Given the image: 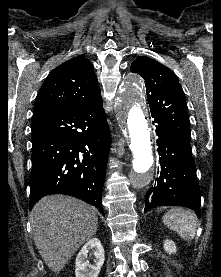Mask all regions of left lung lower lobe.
Instances as JSON below:
<instances>
[{
  "label": "left lung lower lobe",
  "instance_id": "0a47b994",
  "mask_svg": "<svg viewBox=\"0 0 221 277\" xmlns=\"http://www.w3.org/2000/svg\"><path fill=\"white\" fill-rule=\"evenodd\" d=\"M153 125L161 156L160 176L146 193L144 211L159 205H176L193 209L200 217V189L190 143L157 118H154Z\"/></svg>",
  "mask_w": 221,
  "mask_h": 277
}]
</instances>
